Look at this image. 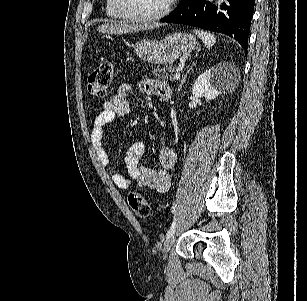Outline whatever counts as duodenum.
Wrapping results in <instances>:
<instances>
[{"label":"duodenum","mask_w":307,"mask_h":301,"mask_svg":"<svg viewBox=\"0 0 307 301\" xmlns=\"http://www.w3.org/2000/svg\"><path fill=\"white\" fill-rule=\"evenodd\" d=\"M169 96H170L169 94L165 95L164 99L167 100L169 98Z\"/></svg>","instance_id":"1"}]
</instances>
